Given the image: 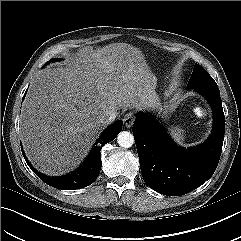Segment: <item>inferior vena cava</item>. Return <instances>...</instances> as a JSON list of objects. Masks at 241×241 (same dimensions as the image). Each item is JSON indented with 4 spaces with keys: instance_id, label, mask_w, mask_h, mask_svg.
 <instances>
[{
    "instance_id": "602c4592",
    "label": "inferior vena cava",
    "mask_w": 241,
    "mask_h": 241,
    "mask_svg": "<svg viewBox=\"0 0 241 241\" xmlns=\"http://www.w3.org/2000/svg\"><path fill=\"white\" fill-rule=\"evenodd\" d=\"M116 116H117V112L109 111V112H106L103 116H101L99 120L103 125H108L115 120Z\"/></svg>"
}]
</instances>
